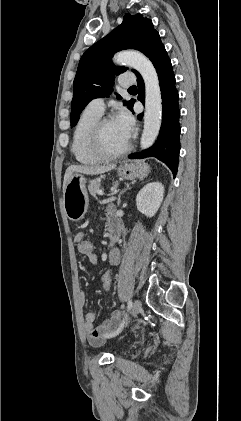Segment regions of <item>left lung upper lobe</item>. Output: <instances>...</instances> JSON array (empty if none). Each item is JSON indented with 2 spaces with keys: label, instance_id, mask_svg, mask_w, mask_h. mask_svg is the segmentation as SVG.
Returning a JSON list of instances; mask_svg holds the SVG:
<instances>
[{
  "label": "left lung upper lobe",
  "instance_id": "obj_1",
  "mask_svg": "<svg viewBox=\"0 0 241 421\" xmlns=\"http://www.w3.org/2000/svg\"><path fill=\"white\" fill-rule=\"evenodd\" d=\"M156 34L150 19L140 14H126L121 25L85 51L73 83L71 127L77 124L80 113L92 99L108 97L113 91L114 74L126 70L111 62L113 54L124 49H136L145 54ZM117 98L121 99L120 95ZM133 103L134 100L124 101L129 109Z\"/></svg>",
  "mask_w": 241,
  "mask_h": 421
}]
</instances>
